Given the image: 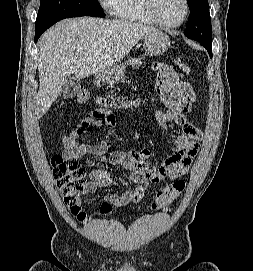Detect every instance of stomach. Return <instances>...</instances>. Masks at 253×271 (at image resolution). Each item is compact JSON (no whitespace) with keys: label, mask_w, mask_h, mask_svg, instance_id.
I'll return each mask as SVG.
<instances>
[{"label":"stomach","mask_w":253,"mask_h":271,"mask_svg":"<svg viewBox=\"0 0 253 271\" xmlns=\"http://www.w3.org/2000/svg\"><path fill=\"white\" fill-rule=\"evenodd\" d=\"M144 47L151 55H162L170 47L168 35L161 31L150 32L144 37ZM124 77V70L119 65H114L105 71L98 73L97 78L104 83L115 84Z\"/></svg>","instance_id":"stomach-1"}]
</instances>
